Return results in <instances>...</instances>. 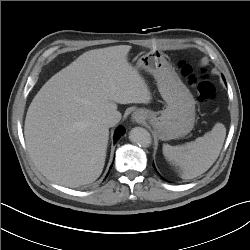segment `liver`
<instances>
[{"label": "liver", "mask_w": 250, "mask_h": 250, "mask_svg": "<svg viewBox=\"0 0 250 250\" xmlns=\"http://www.w3.org/2000/svg\"><path fill=\"white\" fill-rule=\"evenodd\" d=\"M129 45L90 50L52 76L25 119L28 152L50 181L76 188L101 175L109 127L102 119L117 104L151 101L145 80L127 59Z\"/></svg>", "instance_id": "obj_1"}]
</instances>
